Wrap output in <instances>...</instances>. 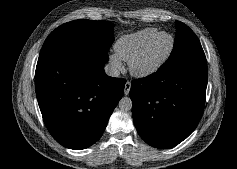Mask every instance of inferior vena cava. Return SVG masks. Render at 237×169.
I'll list each match as a JSON object with an SVG mask.
<instances>
[{"label": "inferior vena cava", "instance_id": "1", "mask_svg": "<svg viewBox=\"0 0 237 169\" xmlns=\"http://www.w3.org/2000/svg\"><path fill=\"white\" fill-rule=\"evenodd\" d=\"M105 73L110 77H119L120 71L113 65L107 64L104 68Z\"/></svg>", "mask_w": 237, "mask_h": 169}]
</instances>
